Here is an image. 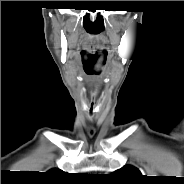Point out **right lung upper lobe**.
Returning <instances> with one entry per match:
<instances>
[{
  "label": "right lung upper lobe",
  "instance_id": "1",
  "mask_svg": "<svg viewBox=\"0 0 184 184\" xmlns=\"http://www.w3.org/2000/svg\"><path fill=\"white\" fill-rule=\"evenodd\" d=\"M49 172H50V173H59L60 170H59V169H52V170H50Z\"/></svg>",
  "mask_w": 184,
  "mask_h": 184
}]
</instances>
